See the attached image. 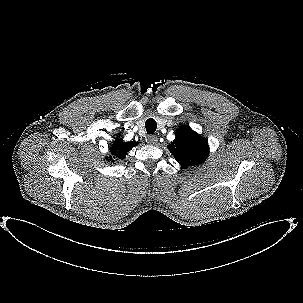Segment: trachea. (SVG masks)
I'll return each mask as SVG.
<instances>
[{"mask_svg": "<svg viewBox=\"0 0 303 303\" xmlns=\"http://www.w3.org/2000/svg\"><path fill=\"white\" fill-rule=\"evenodd\" d=\"M147 134H153L156 131L157 123L154 119L149 118L145 123Z\"/></svg>", "mask_w": 303, "mask_h": 303, "instance_id": "3493384b", "label": "trachea"}]
</instances>
